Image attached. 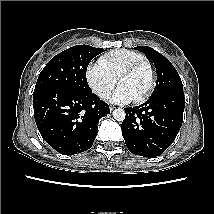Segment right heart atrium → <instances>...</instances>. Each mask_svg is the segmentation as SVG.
Returning <instances> with one entry per match:
<instances>
[{
	"label": "right heart atrium",
	"instance_id": "obj_1",
	"mask_svg": "<svg viewBox=\"0 0 214 214\" xmlns=\"http://www.w3.org/2000/svg\"><path fill=\"white\" fill-rule=\"evenodd\" d=\"M85 79L92 92L101 99H105L116 84V78L100 61L87 66Z\"/></svg>",
	"mask_w": 214,
	"mask_h": 214
}]
</instances>
